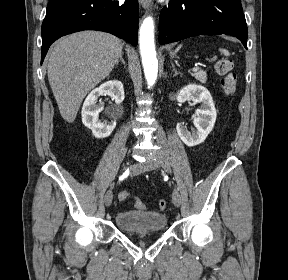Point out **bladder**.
Wrapping results in <instances>:
<instances>
[{
	"instance_id": "bladder-1",
	"label": "bladder",
	"mask_w": 288,
	"mask_h": 280,
	"mask_svg": "<svg viewBox=\"0 0 288 280\" xmlns=\"http://www.w3.org/2000/svg\"><path fill=\"white\" fill-rule=\"evenodd\" d=\"M114 221L118 229L128 233L160 232L167 225L166 215L155 211H121Z\"/></svg>"
}]
</instances>
